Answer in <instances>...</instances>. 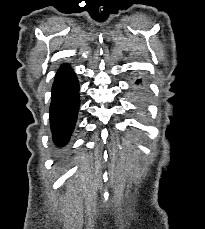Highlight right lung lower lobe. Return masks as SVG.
<instances>
[{"label":"right lung lower lobe","instance_id":"98d812e1","mask_svg":"<svg viewBox=\"0 0 205 229\" xmlns=\"http://www.w3.org/2000/svg\"><path fill=\"white\" fill-rule=\"evenodd\" d=\"M80 106L79 84L68 64L57 71L52 86L50 126L56 144H66L74 130Z\"/></svg>","mask_w":205,"mask_h":229}]
</instances>
